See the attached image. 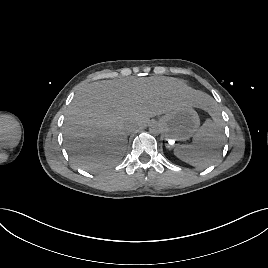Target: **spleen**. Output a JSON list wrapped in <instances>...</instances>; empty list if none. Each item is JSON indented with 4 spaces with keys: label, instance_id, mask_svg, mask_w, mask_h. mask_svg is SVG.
Wrapping results in <instances>:
<instances>
[{
    "label": "spleen",
    "instance_id": "3e777b00",
    "mask_svg": "<svg viewBox=\"0 0 268 268\" xmlns=\"http://www.w3.org/2000/svg\"><path fill=\"white\" fill-rule=\"evenodd\" d=\"M211 116L212 120L204 122L190 145H181L174 150L179 159L197 169L212 165L222 151L223 121L217 112H211Z\"/></svg>",
    "mask_w": 268,
    "mask_h": 268
}]
</instances>
